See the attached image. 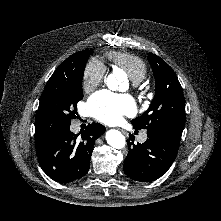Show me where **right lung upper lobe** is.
Instances as JSON below:
<instances>
[{
    "instance_id": "right-lung-upper-lobe-1",
    "label": "right lung upper lobe",
    "mask_w": 221,
    "mask_h": 221,
    "mask_svg": "<svg viewBox=\"0 0 221 221\" xmlns=\"http://www.w3.org/2000/svg\"><path fill=\"white\" fill-rule=\"evenodd\" d=\"M89 50H83L71 55L67 58L53 73L51 78H55L57 76L63 75L71 71L79 61V59L84 56ZM45 134L35 129V146L36 149L40 148L42 145V141L44 139Z\"/></svg>"
}]
</instances>
